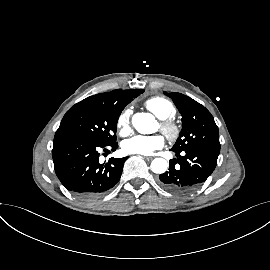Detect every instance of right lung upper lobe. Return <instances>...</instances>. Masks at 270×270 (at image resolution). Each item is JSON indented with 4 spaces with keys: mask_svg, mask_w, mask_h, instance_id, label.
Masks as SVG:
<instances>
[{
    "mask_svg": "<svg viewBox=\"0 0 270 270\" xmlns=\"http://www.w3.org/2000/svg\"><path fill=\"white\" fill-rule=\"evenodd\" d=\"M143 89H131L121 90L116 89L111 92L100 93L92 96L94 99H98L109 104H112L119 110H123L124 107L130 103L134 98L143 93Z\"/></svg>",
    "mask_w": 270,
    "mask_h": 270,
    "instance_id": "right-lung-upper-lobe-1",
    "label": "right lung upper lobe"
}]
</instances>
